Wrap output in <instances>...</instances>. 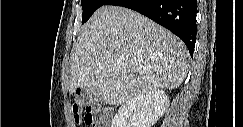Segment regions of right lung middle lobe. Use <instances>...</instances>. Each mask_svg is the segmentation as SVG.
Returning <instances> with one entry per match:
<instances>
[{"label":"right lung middle lobe","instance_id":"dd1d6c3e","mask_svg":"<svg viewBox=\"0 0 243 127\" xmlns=\"http://www.w3.org/2000/svg\"><path fill=\"white\" fill-rule=\"evenodd\" d=\"M106 2L107 0H81L83 9L82 24L85 23L92 16V14Z\"/></svg>","mask_w":243,"mask_h":127}]
</instances>
